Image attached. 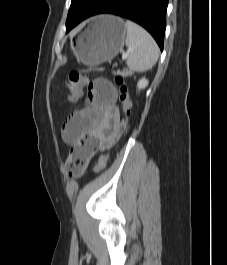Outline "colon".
Instances as JSON below:
<instances>
[{"label": "colon", "mask_w": 227, "mask_h": 265, "mask_svg": "<svg viewBox=\"0 0 227 265\" xmlns=\"http://www.w3.org/2000/svg\"><path fill=\"white\" fill-rule=\"evenodd\" d=\"M89 82L87 76L78 71H72L66 79L65 91L70 101H76L82 94L84 86ZM115 83L118 87L119 101L122 105V111L125 115H129L132 107V102L129 96L128 86L121 76L115 77ZM109 155L103 154L94 167V173L102 172L108 163ZM86 157L77 148H72L67 161L66 167L72 174H77L84 166Z\"/></svg>", "instance_id": "5ec220e1"}]
</instances>
